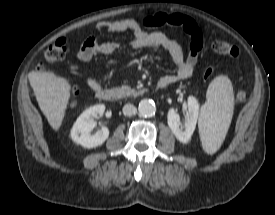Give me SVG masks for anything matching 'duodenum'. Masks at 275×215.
Returning <instances> with one entry per match:
<instances>
[{
	"mask_svg": "<svg viewBox=\"0 0 275 215\" xmlns=\"http://www.w3.org/2000/svg\"><path fill=\"white\" fill-rule=\"evenodd\" d=\"M170 85L166 79H160L157 88L162 89ZM97 98L101 101H113L117 98V92L111 88H102L96 92Z\"/></svg>",
	"mask_w": 275,
	"mask_h": 215,
	"instance_id": "410a0bca",
	"label": "duodenum"
}]
</instances>
